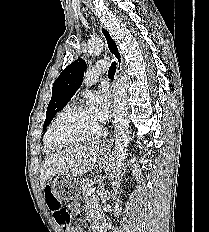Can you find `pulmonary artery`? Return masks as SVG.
I'll use <instances>...</instances> for the list:
<instances>
[{
    "mask_svg": "<svg viewBox=\"0 0 209 232\" xmlns=\"http://www.w3.org/2000/svg\"><path fill=\"white\" fill-rule=\"evenodd\" d=\"M108 71V63L106 61H99L96 64L89 67L85 73L84 83L85 85H91L98 80V77Z\"/></svg>",
    "mask_w": 209,
    "mask_h": 232,
    "instance_id": "1",
    "label": "pulmonary artery"
}]
</instances>
